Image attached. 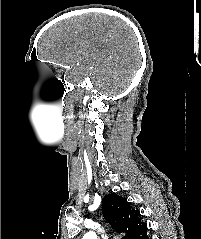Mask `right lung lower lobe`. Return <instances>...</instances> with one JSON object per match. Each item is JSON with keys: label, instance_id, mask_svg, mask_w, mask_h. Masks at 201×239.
I'll return each mask as SVG.
<instances>
[{"label": "right lung lower lobe", "instance_id": "right-lung-lower-lobe-1", "mask_svg": "<svg viewBox=\"0 0 201 239\" xmlns=\"http://www.w3.org/2000/svg\"><path fill=\"white\" fill-rule=\"evenodd\" d=\"M144 239H149V237L147 236V234H146V236L144 237Z\"/></svg>", "mask_w": 201, "mask_h": 239}]
</instances>
